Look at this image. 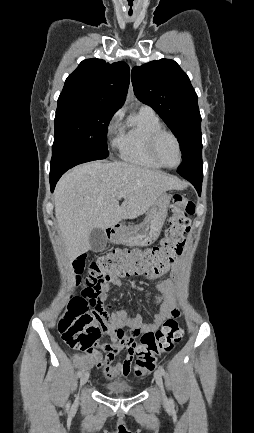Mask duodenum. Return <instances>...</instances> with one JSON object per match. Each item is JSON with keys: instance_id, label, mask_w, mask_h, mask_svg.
Returning <instances> with one entry per match:
<instances>
[{"instance_id": "obj_1", "label": "duodenum", "mask_w": 254, "mask_h": 433, "mask_svg": "<svg viewBox=\"0 0 254 433\" xmlns=\"http://www.w3.org/2000/svg\"><path fill=\"white\" fill-rule=\"evenodd\" d=\"M120 229H121V225L120 224H115V225L111 226L108 229V236L109 237L114 236Z\"/></svg>"}]
</instances>
